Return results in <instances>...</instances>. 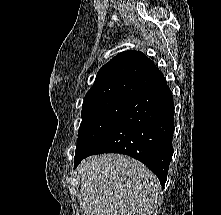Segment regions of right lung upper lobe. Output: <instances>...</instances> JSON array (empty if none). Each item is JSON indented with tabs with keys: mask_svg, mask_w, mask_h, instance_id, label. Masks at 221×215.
<instances>
[{
	"mask_svg": "<svg viewBox=\"0 0 221 215\" xmlns=\"http://www.w3.org/2000/svg\"><path fill=\"white\" fill-rule=\"evenodd\" d=\"M164 79L153 61L140 51H126L99 70L84 103L108 99H133Z\"/></svg>",
	"mask_w": 221,
	"mask_h": 215,
	"instance_id": "1",
	"label": "right lung upper lobe"
}]
</instances>
